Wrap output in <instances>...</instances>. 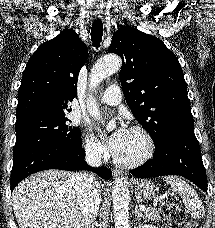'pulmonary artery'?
Here are the masks:
<instances>
[{"instance_id": "pulmonary-artery-1", "label": "pulmonary artery", "mask_w": 215, "mask_h": 228, "mask_svg": "<svg viewBox=\"0 0 215 228\" xmlns=\"http://www.w3.org/2000/svg\"><path fill=\"white\" fill-rule=\"evenodd\" d=\"M122 101L120 90L115 84H110L109 88L101 96L100 102L103 105L116 106Z\"/></svg>"}]
</instances>
